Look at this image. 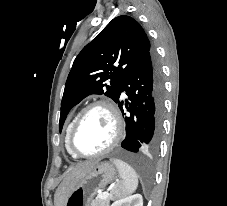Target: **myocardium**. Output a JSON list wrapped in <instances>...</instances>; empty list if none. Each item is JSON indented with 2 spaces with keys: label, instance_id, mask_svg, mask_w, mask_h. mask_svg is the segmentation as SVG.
Masks as SVG:
<instances>
[{
  "label": "myocardium",
  "instance_id": "obj_1",
  "mask_svg": "<svg viewBox=\"0 0 227 206\" xmlns=\"http://www.w3.org/2000/svg\"><path fill=\"white\" fill-rule=\"evenodd\" d=\"M98 107L105 108L110 113L112 120H113V124H114V136H113L111 142L109 143V145L107 147H105L104 149H102L101 151L92 153V154H83V153L79 152L74 146L75 135H76L79 125L82 122L85 115L92 109L98 108ZM123 131H124V127H123L122 116H121L119 109L116 107V105L110 100L98 99V100H95V101L91 102L90 104H88L78 114V116L70 130V133H69L68 148L72 154H74L76 157H79V158L99 157L104 154H107L108 152H110L112 149H114L119 144V142L121 141V139L123 137Z\"/></svg>",
  "mask_w": 227,
  "mask_h": 206
}]
</instances>
